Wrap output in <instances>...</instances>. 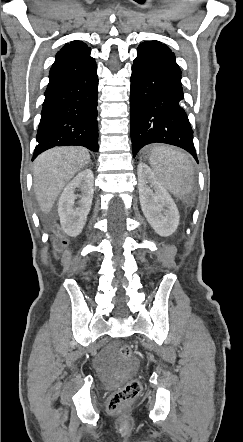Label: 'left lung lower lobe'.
Segmentation results:
<instances>
[{"mask_svg": "<svg viewBox=\"0 0 243 442\" xmlns=\"http://www.w3.org/2000/svg\"><path fill=\"white\" fill-rule=\"evenodd\" d=\"M137 50L130 85L133 156L147 144L166 143L185 149L198 162L174 54L159 41H145Z\"/></svg>", "mask_w": 243, "mask_h": 442, "instance_id": "left-lung-lower-lobe-1", "label": "left lung lower lobe"}]
</instances>
